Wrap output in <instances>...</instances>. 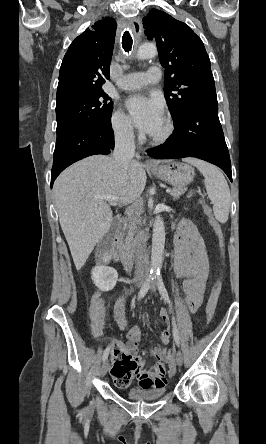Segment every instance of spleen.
I'll return each instance as SVG.
<instances>
[{
  "label": "spleen",
  "instance_id": "1",
  "mask_svg": "<svg viewBox=\"0 0 266 444\" xmlns=\"http://www.w3.org/2000/svg\"><path fill=\"white\" fill-rule=\"evenodd\" d=\"M184 161L195 166L204 176V184L216 219L221 223L228 220L231 204L228 183L221 171L205 161L196 158H186Z\"/></svg>",
  "mask_w": 266,
  "mask_h": 444
}]
</instances>
